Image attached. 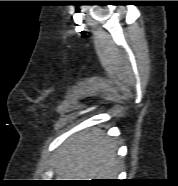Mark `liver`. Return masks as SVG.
<instances>
[{
    "label": "liver",
    "mask_w": 178,
    "mask_h": 186,
    "mask_svg": "<svg viewBox=\"0 0 178 186\" xmlns=\"http://www.w3.org/2000/svg\"><path fill=\"white\" fill-rule=\"evenodd\" d=\"M117 148L104 132L93 129L68 139L54 163L58 180L114 179L120 166Z\"/></svg>",
    "instance_id": "liver-1"
}]
</instances>
